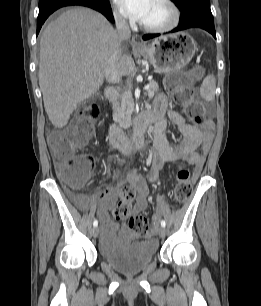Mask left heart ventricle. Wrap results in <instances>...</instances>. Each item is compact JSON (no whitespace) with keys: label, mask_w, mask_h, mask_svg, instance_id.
<instances>
[{"label":"left heart ventricle","mask_w":261,"mask_h":306,"mask_svg":"<svg viewBox=\"0 0 261 306\" xmlns=\"http://www.w3.org/2000/svg\"><path fill=\"white\" fill-rule=\"evenodd\" d=\"M169 19L170 11L167 6L161 3L160 0H151L141 22L147 25H161Z\"/></svg>","instance_id":"left-heart-ventricle-1"}]
</instances>
